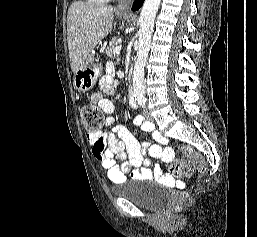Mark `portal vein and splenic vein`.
<instances>
[{"label":"portal vein and splenic vein","instance_id":"obj_1","mask_svg":"<svg viewBox=\"0 0 257 237\" xmlns=\"http://www.w3.org/2000/svg\"><path fill=\"white\" fill-rule=\"evenodd\" d=\"M121 49H122V45H118V46L115 48V53L119 55L120 52H121Z\"/></svg>","mask_w":257,"mask_h":237}]
</instances>
